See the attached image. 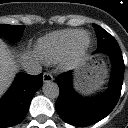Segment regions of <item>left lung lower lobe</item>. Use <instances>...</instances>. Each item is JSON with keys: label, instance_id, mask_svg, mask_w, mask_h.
<instances>
[{"label": "left lung lower lobe", "instance_id": "0a47b994", "mask_svg": "<svg viewBox=\"0 0 128 128\" xmlns=\"http://www.w3.org/2000/svg\"><path fill=\"white\" fill-rule=\"evenodd\" d=\"M97 52H106L113 63L111 86L107 93L96 98H84L74 92L68 72L56 78L60 88L56 110L71 125L85 127L100 121L113 110L120 97L124 61L117 41L98 47Z\"/></svg>", "mask_w": 128, "mask_h": 128}]
</instances>
